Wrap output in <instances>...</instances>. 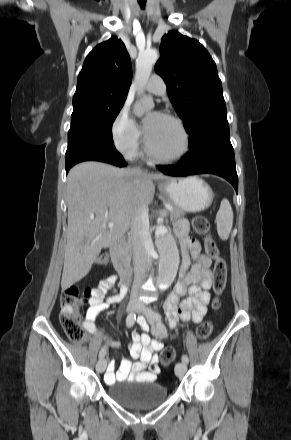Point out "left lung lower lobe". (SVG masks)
Returning a JSON list of instances; mask_svg holds the SVG:
<instances>
[{
    "label": "left lung lower lobe",
    "mask_w": 291,
    "mask_h": 440,
    "mask_svg": "<svg viewBox=\"0 0 291 440\" xmlns=\"http://www.w3.org/2000/svg\"><path fill=\"white\" fill-rule=\"evenodd\" d=\"M162 173L175 177L209 173L228 180L238 192V177L229 129L211 133L191 148L176 165H159Z\"/></svg>",
    "instance_id": "1"
}]
</instances>
